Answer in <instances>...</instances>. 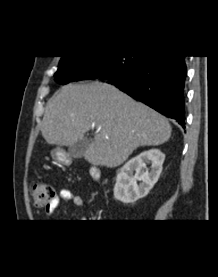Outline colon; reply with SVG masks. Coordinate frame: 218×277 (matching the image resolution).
I'll use <instances>...</instances> for the list:
<instances>
[{
	"mask_svg": "<svg viewBox=\"0 0 218 277\" xmlns=\"http://www.w3.org/2000/svg\"><path fill=\"white\" fill-rule=\"evenodd\" d=\"M31 199L37 208H45L55 197L52 186L46 183H35L31 187Z\"/></svg>",
	"mask_w": 218,
	"mask_h": 277,
	"instance_id": "5ec220e1",
	"label": "colon"
}]
</instances>
